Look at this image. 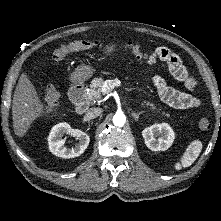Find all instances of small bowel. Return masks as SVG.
<instances>
[{
	"label": "small bowel",
	"mask_w": 221,
	"mask_h": 221,
	"mask_svg": "<svg viewBox=\"0 0 221 221\" xmlns=\"http://www.w3.org/2000/svg\"><path fill=\"white\" fill-rule=\"evenodd\" d=\"M165 61L173 77L181 82L186 91H179L167 85L160 76H153L152 81L157 88L160 99L167 105L177 109L196 108L200 100L192 94L196 82L182 64L180 58L166 47H157L148 58V64L152 65L157 60Z\"/></svg>",
	"instance_id": "1"
}]
</instances>
